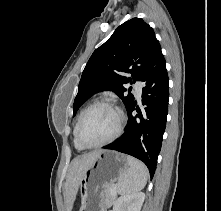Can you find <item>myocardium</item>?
I'll return each mask as SVG.
<instances>
[{"label":"myocardium","instance_id":"obj_1","mask_svg":"<svg viewBox=\"0 0 221 211\" xmlns=\"http://www.w3.org/2000/svg\"><path fill=\"white\" fill-rule=\"evenodd\" d=\"M98 106H106V107L113 109L117 113V116H118V125H117L115 132L109 138H107L101 142H98V143L89 144V143H86L82 138V126H83V122H84L87 114L92 109H94ZM124 124H125L124 113L115 103H113L109 100H105V99L97 100L83 110V112L79 118L78 126H77V140L84 148H96V147H101V146L107 145V144L115 141L121 135L123 128H124Z\"/></svg>","mask_w":221,"mask_h":211}]
</instances>
